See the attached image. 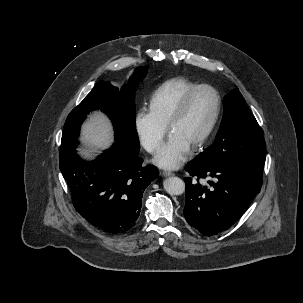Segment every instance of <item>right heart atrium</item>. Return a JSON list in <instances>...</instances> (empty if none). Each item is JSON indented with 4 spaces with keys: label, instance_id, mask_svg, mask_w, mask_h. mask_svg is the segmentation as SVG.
<instances>
[{
    "label": "right heart atrium",
    "instance_id": "obj_1",
    "mask_svg": "<svg viewBox=\"0 0 303 303\" xmlns=\"http://www.w3.org/2000/svg\"><path fill=\"white\" fill-rule=\"evenodd\" d=\"M134 130L143 148L149 153H154L162 144L167 126L150 110L140 109L134 116Z\"/></svg>",
    "mask_w": 303,
    "mask_h": 303
}]
</instances>
